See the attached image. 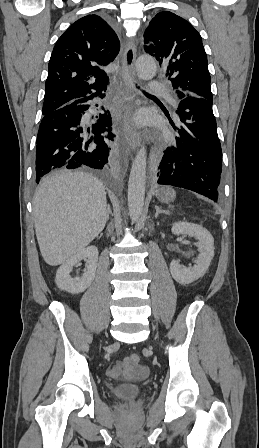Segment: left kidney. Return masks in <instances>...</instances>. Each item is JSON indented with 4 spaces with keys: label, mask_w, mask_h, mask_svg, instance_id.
I'll list each match as a JSON object with an SVG mask.
<instances>
[{
    "label": "left kidney",
    "mask_w": 259,
    "mask_h": 448,
    "mask_svg": "<svg viewBox=\"0 0 259 448\" xmlns=\"http://www.w3.org/2000/svg\"><path fill=\"white\" fill-rule=\"evenodd\" d=\"M172 234H185V236H191V238H196L198 242V250L200 252L199 258L192 268H186V266H181L178 260H172L170 264V272L172 278L182 284V286H187V284H192L198 278H202L206 274L212 258H214V238L211 236L208 230L202 228V226H197V224H187V222H177L173 224Z\"/></svg>",
    "instance_id": "1"
}]
</instances>
